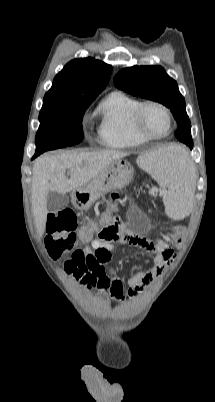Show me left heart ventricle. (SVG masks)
Masks as SVG:
<instances>
[{
	"mask_svg": "<svg viewBox=\"0 0 215 402\" xmlns=\"http://www.w3.org/2000/svg\"><path fill=\"white\" fill-rule=\"evenodd\" d=\"M143 122L146 129L156 135L164 134L168 129L166 114L156 107H148L144 111Z\"/></svg>",
	"mask_w": 215,
	"mask_h": 402,
	"instance_id": "left-heart-ventricle-1",
	"label": "left heart ventricle"
}]
</instances>
